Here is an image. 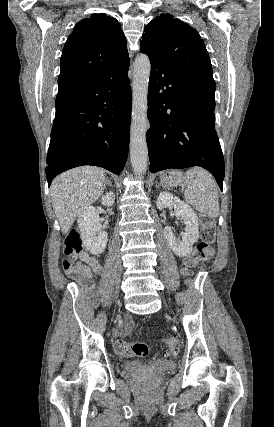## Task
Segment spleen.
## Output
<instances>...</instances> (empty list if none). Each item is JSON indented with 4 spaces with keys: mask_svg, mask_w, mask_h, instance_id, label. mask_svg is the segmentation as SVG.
Listing matches in <instances>:
<instances>
[{
    "mask_svg": "<svg viewBox=\"0 0 274 427\" xmlns=\"http://www.w3.org/2000/svg\"><path fill=\"white\" fill-rule=\"evenodd\" d=\"M184 198L197 212L218 217L219 202L216 182L203 168H192L185 172L184 176Z\"/></svg>",
    "mask_w": 274,
    "mask_h": 427,
    "instance_id": "1",
    "label": "spleen"
}]
</instances>
